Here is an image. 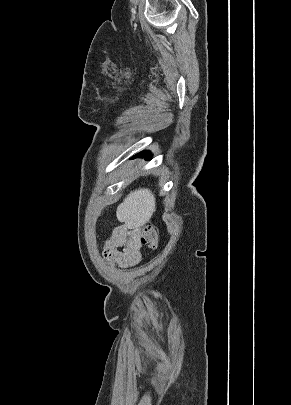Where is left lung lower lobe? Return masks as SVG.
<instances>
[{"instance_id":"0a47b994","label":"left lung lower lobe","mask_w":291,"mask_h":405,"mask_svg":"<svg viewBox=\"0 0 291 405\" xmlns=\"http://www.w3.org/2000/svg\"><path fill=\"white\" fill-rule=\"evenodd\" d=\"M145 157L146 159H150L151 158V153L148 151H143L140 154L134 156V157Z\"/></svg>"}]
</instances>
